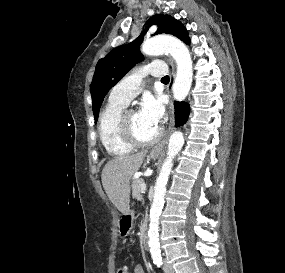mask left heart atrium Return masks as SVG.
<instances>
[{"label":"left heart atrium","mask_w":285,"mask_h":273,"mask_svg":"<svg viewBox=\"0 0 285 273\" xmlns=\"http://www.w3.org/2000/svg\"><path fill=\"white\" fill-rule=\"evenodd\" d=\"M138 113L143 120L159 127L164 115V107L158 98L146 95L141 102Z\"/></svg>","instance_id":"obj_1"}]
</instances>
